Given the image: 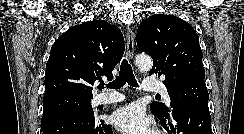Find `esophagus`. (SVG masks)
<instances>
[{
	"label": "esophagus",
	"mask_w": 244,
	"mask_h": 134,
	"mask_svg": "<svg viewBox=\"0 0 244 134\" xmlns=\"http://www.w3.org/2000/svg\"><path fill=\"white\" fill-rule=\"evenodd\" d=\"M126 42L127 58L132 61L135 49L134 33L128 26L126 27Z\"/></svg>",
	"instance_id": "34e87169"
}]
</instances>
